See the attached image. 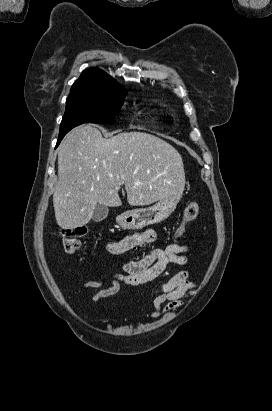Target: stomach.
Wrapping results in <instances>:
<instances>
[{
  "mask_svg": "<svg viewBox=\"0 0 272 411\" xmlns=\"http://www.w3.org/2000/svg\"><path fill=\"white\" fill-rule=\"evenodd\" d=\"M181 196L182 192H176L151 207L124 212L117 216L116 221L120 227L127 230L142 229L160 223L166 220L176 209Z\"/></svg>",
  "mask_w": 272,
  "mask_h": 411,
  "instance_id": "0dacf381",
  "label": "stomach"
}]
</instances>
